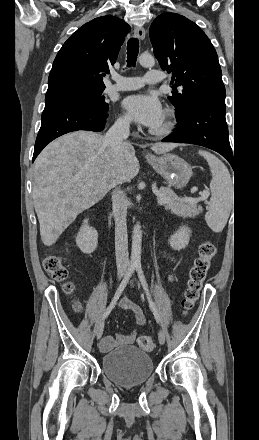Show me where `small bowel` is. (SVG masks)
<instances>
[{
  "mask_svg": "<svg viewBox=\"0 0 259 440\" xmlns=\"http://www.w3.org/2000/svg\"><path fill=\"white\" fill-rule=\"evenodd\" d=\"M162 256L168 259L171 262H176L175 258L170 254L163 252ZM174 278L173 274L169 276V280L172 281ZM119 307L123 310H128L133 313L136 323L139 326H142L146 323V317L142 311V309L132 300L127 297H123L119 303ZM136 338V331H132L129 334H119L116 336L107 335L105 336L100 344V348L102 351H108L115 346L120 345H129L134 342Z\"/></svg>",
  "mask_w": 259,
  "mask_h": 440,
  "instance_id": "small-bowel-1",
  "label": "small bowel"
}]
</instances>
